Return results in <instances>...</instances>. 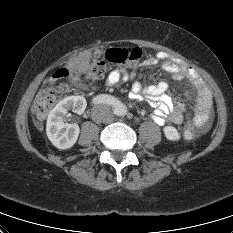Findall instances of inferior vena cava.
<instances>
[{
  "label": "inferior vena cava",
  "mask_w": 233,
  "mask_h": 233,
  "mask_svg": "<svg viewBox=\"0 0 233 233\" xmlns=\"http://www.w3.org/2000/svg\"><path fill=\"white\" fill-rule=\"evenodd\" d=\"M97 110L99 111V115L97 116V121H105L111 122L113 120V114L109 110V108L105 105L98 106Z\"/></svg>",
  "instance_id": "obj_1"
}]
</instances>
